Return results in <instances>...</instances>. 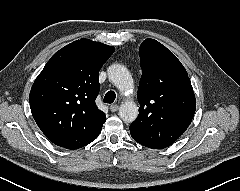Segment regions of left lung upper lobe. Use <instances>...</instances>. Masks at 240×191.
<instances>
[{"label":"left lung upper lobe","mask_w":240,"mask_h":191,"mask_svg":"<svg viewBox=\"0 0 240 191\" xmlns=\"http://www.w3.org/2000/svg\"><path fill=\"white\" fill-rule=\"evenodd\" d=\"M142 76L137 92L138 118L130 129L148 143L171 145L190 125L195 95L181 62L164 45L146 39L139 48Z\"/></svg>","instance_id":"1"}]
</instances>
